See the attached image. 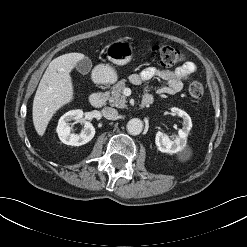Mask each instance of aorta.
Returning <instances> with one entry per match:
<instances>
[{
  "label": "aorta",
  "mask_w": 247,
  "mask_h": 247,
  "mask_svg": "<svg viewBox=\"0 0 247 247\" xmlns=\"http://www.w3.org/2000/svg\"><path fill=\"white\" fill-rule=\"evenodd\" d=\"M143 130V122L138 118H133L127 123V131L131 135H138Z\"/></svg>",
  "instance_id": "1"
}]
</instances>
